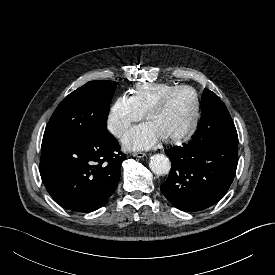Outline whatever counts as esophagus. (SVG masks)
<instances>
[{
  "label": "esophagus",
  "mask_w": 275,
  "mask_h": 275,
  "mask_svg": "<svg viewBox=\"0 0 275 275\" xmlns=\"http://www.w3.org/2000/svg\"><path fill=\"white\" fill-rule=\"evenodd\" d=\"M132 155L137 158H143L146 156V154L143 152H134Z\"/></svg>",
  "instance_id": "34e87169"
}]
</instances>
